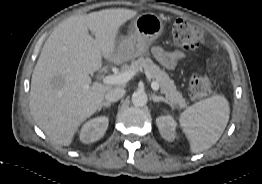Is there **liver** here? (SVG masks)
Here are the masks:
<instances>
[{"instance_id": "1", "label": "liver", "mask_w": 262, "mask_h": 184, "mask_svg": "<svg viewBox=\"0 0 262 184\" xmlns=\"http://www.w3.org/2000/svg\"><path fill=\"white\" fill-rule=\"evenodd\" d=\"M136 14L118 8L71 16L46 40L32 74L29 107L36 124L54 143L69 146L81 123L112 89L92 83L89 74L101 68L102 57L107 61L117 57L119 28Z\"/></svg>"}]
</instances>
